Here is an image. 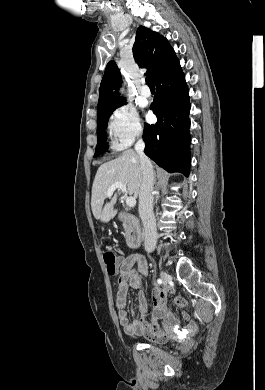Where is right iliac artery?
I'll use <instances>...</instances> for the list:
<instances>
[{
  "instance_id": "82829eb1",
  "label": "right iliac artery",
  "mask_w": 265,
  "mask_h": 390,
  "mask_svg": "<svg viewBox=\"0 0 265 390\" xmlns=\"http://www.w3.org/2000/svg\"><path fill=\"white\" fill-rule=\"evenodd\" d=\"M157 283H158V284H162V280H161V279H158V280H157Z\"/></svg>"
}]
</instances>
